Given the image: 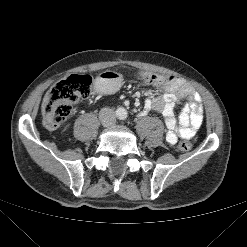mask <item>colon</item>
<instances>
[{
    "mask_svg": "<svg viewBox=\"0 0 247 247\" xmlns=\"http://www.w3.org/2000/svg\"><path fill=\"white\" fill-rule=\"evenodd\" d=\"M137 77L148 84L162 85L172 77L152 72H139ZM92 80L88 75L71 74L57 82L52 88L44 106V124L54 129L66 121L73 112V105L91 94ZM182 151L193 147V141L185 139L178 145Z\"/></svg>",
    "mask_w": 247,
    "mask_h": 247,
    "instance_id": "colon-1",
    "label": "colon"
}]
</instances>
